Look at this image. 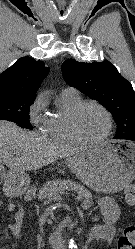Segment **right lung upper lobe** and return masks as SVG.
<instances>
[{
    "instance_id": "right-lung-upper-lobe-1",
    "label": "right lung upper lobe",
    "mask_w": 135,
    "mask_h": 249,
    "mask_svg": "<svg viewBox=\"0 0 135 249\" xmlns=\"http://www.w3.org/2000/svg\"><path fill=\"white\" fill-rule=\"evenodd\" d=\"M48 72L44 62L22 57L0 74V94L35 97Z\"/></svg>"
}]
</instances>
